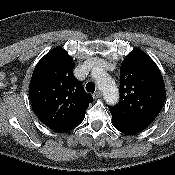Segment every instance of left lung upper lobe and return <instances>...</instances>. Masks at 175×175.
<instances>
[{"label": "left lung upper lobe", "mask_w": 175, "mask_h": 175, "mask_svg": "<svg viewBox=\"0 0 175 175\" xmlns=\"http://www.w3.org/2000/svg\"><path fill=\"white\" fill-rule=\"evenodd\" d=\"M120 81V101L109 107L110 113L153 121L166 98L164 80L155 62L142 50H133L121 64Z\"/></svg>", "instance_id": "left-lung-upper-lobe-1"}]
</instances>
